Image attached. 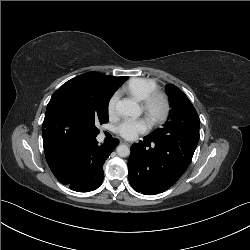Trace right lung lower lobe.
<instances>
[{"label": "right lung lower lobe", "mask_w": 250, "mask_h": 250, "mask_svg": "<svg viewBox=\"0 0 250 250\" xmlns=\"http://www.w3.org/2000/svg\"><path fill=\"white\" fill-rule=\"evenodd\" d=\"M119 144L118 139L98 145L94 138H72L45 151L47 163L56 178L70 189L88 192L103 181V164Z\"/></svg>", "instance_id": "obj_1"}]
</instances>
